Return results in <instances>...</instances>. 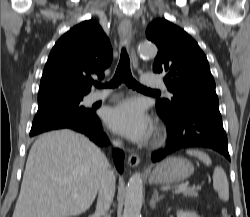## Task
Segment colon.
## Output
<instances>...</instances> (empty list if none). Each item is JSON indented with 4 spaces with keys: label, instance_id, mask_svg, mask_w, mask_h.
<instances>
[{
    "label": "colon",
    "instance_id": "5ec220e1",
    "mask_svg": "<svg viewBox=\"0 0 250 217\" xmlns=\"http://www.w3.org/2000/svg\"><path fill=\"white\" fill-rule=\"evenodd\" d=\"M221 216L222 217H231V213H230V211L227 208H223L221 210Z\"/></svg>",
    "mask_w": 250,
    "mask_h": 217
}]
</instances>
